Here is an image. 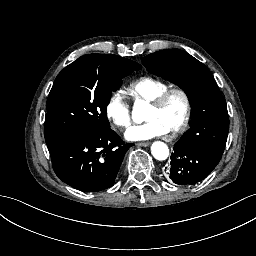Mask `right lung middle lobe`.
<instances>
[{
	"instance_id": "right-lung-middle-lobe-1",
	"label": "right lung middle lobe",
	"mask_w": 256,
	"mask_h": 256,
	"mask_svg": "<svg viewBox=\"0 0 256 256\" xmlns=\"http://www.w3.org/2000/svg\"><path fill=\"white\" fill-rule=\"evenodd\" d=\"M141 69L111 57L76 60L56 77L47 100L45 141L110 130L107 105L122 78Z\"/></svg>"
}]
</instances>
